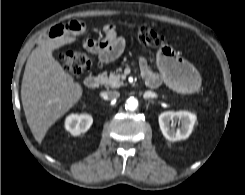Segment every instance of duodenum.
Segmentation results:
<instances>
[{
    "instance_id": "410a0bca",
    "label": "duodenum",
    "mask_w": 245,
    "mask_h": 195,
    "mask_svg": "<svg viewBox=\"0 0 245 195\" xmlns=\"http://www.w3.org/2000/svg\"><path fill=\"white\" fill-rule=\"evenodd\" d=\"M144 83L148 88L154 89V88H157L159 86L160 81L157 78L145 77ZM84 84L89 89H96L101 84V78L99 76H95V75L87 76L84 80Z\"/></svg>"
}]
</instances>
